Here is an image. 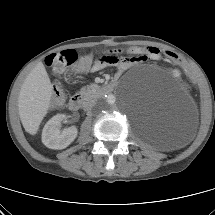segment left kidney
<instances>
[{"mask_svg": "<svg viewBox=\"0 0 215 215\" xmlns=\"http://www.w3.org/2000/svg\"><path fill=\"white\" fill-rule=\"evenodd\" d=\"M174 75H175V77L179 78L178 79L179 84H181V85L186 84L187 79H186V77L182 76L183 75L182 70H180V69L175 70Z\"/></svg>", "mask_w": 215, "mask_h": 215, "instance_id": "left-kidney-1", "label": "left kidney"}]
</instances>
